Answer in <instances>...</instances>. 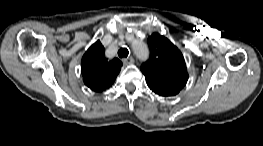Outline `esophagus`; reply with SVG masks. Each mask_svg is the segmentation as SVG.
<instances>
[{"instance_id": "obj_1", "label": "esophagus", "mask_w": 263, "mask_h": 146, "mask_svg": "<svg viewBox=\"0 0 263 146\" xmlns=\"http://www.w3.org/2000/svg\"><path fill=\"white\" fill-rule=\"evenodd\" d=\"M122 61L124 64H131L134 62V59H133V57H128V58L122 59Z\"/></svg>"}]
</instances>
